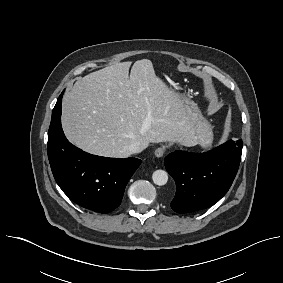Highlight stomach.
<instances>
[{"label": "stomach", "instance_id": "1", "mask_svg": "<svg viewBox=\"0 0 283 283\" xmlns=\"http://www.w3.org/2000/svg\"><path fill=\"white\" fill-rule=\"evenodd\" d=\"M180 97L184 101V105L190 116V120L194 122L195 135L197 137L198 144L204 149L209 148L213 142L212 125L206 120L205 117H203L200 109L193 100L187 96Z\"/></svg>", "mask_w": 283, "mask_h": 283}]
</instances>
